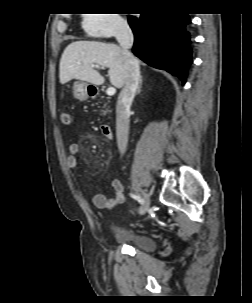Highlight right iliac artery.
I'll return each instance as SVG.
<instances>
[{
	"label": "right iliac artery",
	"instance_id": "right-iliac-artery-1",
	"mask_svg": "<svg viewBox=\"0 0 252 303\" xmlns=\"http://www.w3.org/2000/svg\"><path fill=\"white\" fill-rule=\"evenodd\" d=\"M130 196L134 199H136L139 203H143V199L138 196V195H135V194H130Z\"/></svg>",
	"mask_w": 252,
	"mask_h": 303
}]
</instances>
